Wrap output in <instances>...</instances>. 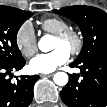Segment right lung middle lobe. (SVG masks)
I'll return each instance as SVG.
<instances>
[{
  "mask_svg": "<svg viewBox=\"0 0 107 107\" xmlns=\"http://www.w3.org/2000/svg\"><path fill=\"white\" fill-rule=\"evenodd\" d=\"M31 16V12L0 6V62L11 64L24 59L16 36L20 26Z\"/></svg>",
  "mask_w": 107,
  "mask_h": 107,
  "instance_id": "1",
  "label": "right lung middle lobe"
}]
</instances>
